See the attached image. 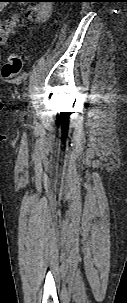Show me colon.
Listing matches in <instances>:
<instances>
[{
  "label": "colon",
  "instance_id": "5ec220e1",
  "mask_svg": "<svg viewBox=\"0 0 127 303\" xmlns=\"http://www.w3.org/2000/svg\"><path fill=\"white\" fill-rule=\"evenodd\" d=\"M23 58L19 53H12L8 57L2 69V75L6 79L15 77L22 68Z\"/></svg>",
  "mask_w": 127,
  "mask_h": 303
}]
</instances>
